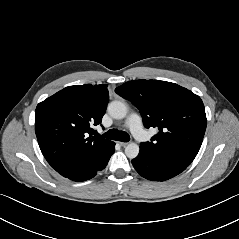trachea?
Wrapping results in <instances>:
<instances>
[{"instance_id": "1", "label": "trachea", "mask_w": 239, "mask_h": 239, "mask_svg": "<svg viewBox=\"0 0 239 239\" xmlns=\"http://www.w3.org/2000/svg\"><path fill=\"white\" fill-rule=\"evenodd\" d=\"M103 136L105 138H108L111 140H118L121 142H128L130 140V136L128 135V133L119 131L117 129H110Z\"/></svg>"}]
</instances>
